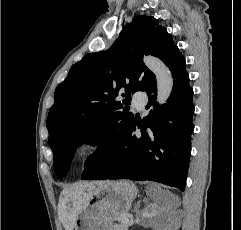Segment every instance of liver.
<instances>
[{
	"mask_svg": "<svg viewBox=\"0 0 241 230\" xmlns=\"http://www.w3.org/2000/svg\"><path fill=\"white\" fill-rule=\"evenodd\" d=\"M85 187L66 189L61 193L58 212L65 230H73L79 212L91 198L92 192H85Z\"/></svg>",
	"mask_w": 241,
	"mask_h": 230,
	"instance_id": "6515ba94",
	"label": "liver"
}]
</instances>
